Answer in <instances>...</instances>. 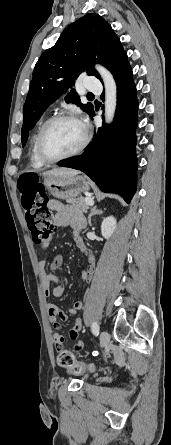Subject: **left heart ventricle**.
<instances>
[{
  "label": "left heart ventricle",
  "instance_id": "left-heart-ventricle-1",
  "mask_svg": "<svg viewBox=\"0 0 171 445\" xmlns=\"http://www.w3.org/2000/svg\"><path fill=\"white\" fill-rule=\"evenodd\" d=\"M83 139L82 127L74 121H60L46 132L42 148L51 158L65 155L75 150Z\"/></svg>",
  "mask_w": 171,
  "mask_h": 445
}]
</instances>
